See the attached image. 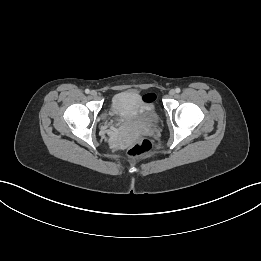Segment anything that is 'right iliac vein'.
I'll return each instance as SVG.
<instances>
[{"label":"right iliac vein","instance_id":"1","mask_svg":"<svg viewBox=\"0 0 261 261\" xmlns=\"http://www.w3.org/2000/svg\"><path fill=\"white\" fill-rule=\"evenodd\" d=\"M90 95L93 96V97H96L97 96V92L95 90H92L90 92Z\"/></svg>","mask_w":261,"mask_h":261}]
</instances>
